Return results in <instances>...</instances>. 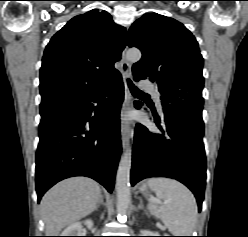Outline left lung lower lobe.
Returning <instances> with one entry per match:
<instances>
[{
    "instance_id": "left-lung-lower-lobe-1",
    "label": "left lung lower lobe",
    "mask_w": 248,
    "mask_h": 237,
    "mask_svg": "<svg viewBox=\"0 0 248 237\" xmlns=\"http://www.w3.org/2000/svg\"><path fill=\"white\" fill-rule=\"evenodd\" d=\"M142 102H135L137 109ZM202 104L175 102L163 106L164 122H154L162 132L137 124L134 136L131 184L148 177H169L186 185L199 210L204 198L206 157L203 145Z\"/></svg>"
}]
</instances>
